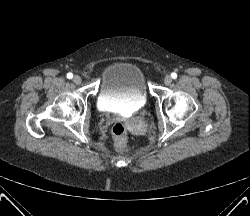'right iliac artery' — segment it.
Here are the masks:
<instances>
[{
	"label": "right iliac artery",
	"mask_w": 250,
	"mask_h": 216,
	"mask_svg": "<svg viewBox=\"0 0 250 216\" xmlns=\"http://www.w3.org/2000/svg\"><path fill=\"white\" fill-rule=\"evenodd\" d=\"M72 77H73V74H72V73H68V74H67V78H68V79H72Z\"/></svg>",
	"instance_id": "1"
}]
</instances>
